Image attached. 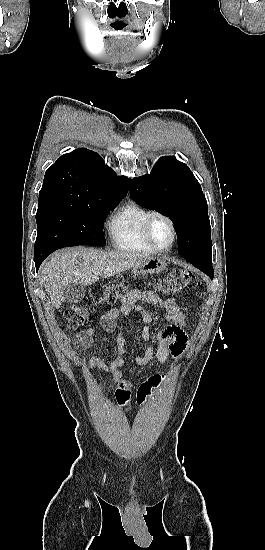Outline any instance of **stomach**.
<instances>
[{"mask_svg": "<svg viewBox=\"0 0 265 550\" xmlns=\"http://www.w3.org/2000/svg\"><path fill=\"white\" fill-rule=\"evenodd\" d=\"M167 267V262L161 257H148L135 267L132 272L138 275L154 274L163 271Z\"/></svg>", "mask_w": 265, "mask_h": 550, "instance_id": "stomach-1", "label": "stomach"}]
</instances>
